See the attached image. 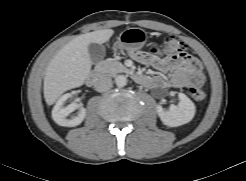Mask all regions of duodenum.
<instances>
[{
    "label": "duodenum",
    "mask_w": 246,
    "mask_h": 181,
    "mask_svg": "<svg viewBox=\"0 0 246 181\" xmlns=\"http://www.w3.org/2000/svg\"><path fill=\"white\" fill-rule=\"evenodd\" d=\"M134 79L139 84H145L148 77L141 74H134ZM87 83L90 86H99L103 82V72L100 69H94L87 75Z\"/></svg>",
    "instance_id": "1"
}]
</instances>
